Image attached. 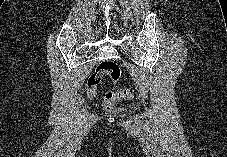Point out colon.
Segmentation results:
<instances>
[{
  "mask_svg": "<svg viewBox=\"0 0 227 157\" xmlns=\"http://www.w3.org/2000/svg\"><path fill=\"white\" fill-rule=\"evenodd\" d=\"M102 76H108L113 83H116L120 78V68L113 61H101L94 73L88 78L86 88L88 95L93 97L97 85ZM134 98V91L130 88H120L114 91H109L103 98V107L108 112L116 111V102L120 100H131Z\"/></svg>",
  "mask_w": 227,
  "mask_h": 157,
  "instance_id": "colon-1",
  "label": "colon"
}]
</instances>
